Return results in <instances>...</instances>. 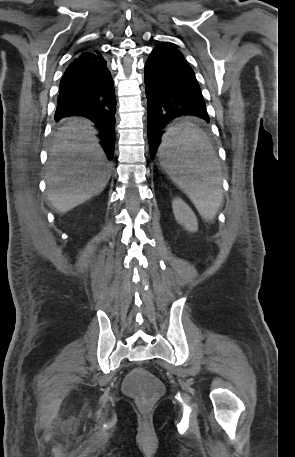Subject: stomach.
<instances>
[{
	"instance_id": "obj_1",
	"label": "stomach",
	"mask_w": 295,
	"mask_h": 457,
	"mask_svg": "<svg viewBox=\"0 0 295 457\" xmlns=\"http://www.w3.org/2000/svg\"><path fill=\"white\" fill-rule=\"evenodd\" d=\"M159 159H160V163H161V165H164V163L166 162V160H165V159H163V158H159Z\"/></svg>"
}]
</instances>
